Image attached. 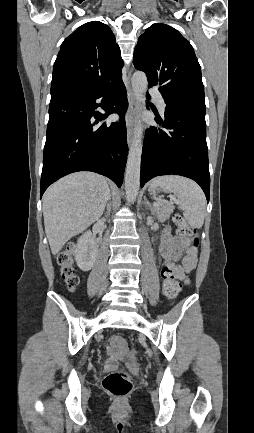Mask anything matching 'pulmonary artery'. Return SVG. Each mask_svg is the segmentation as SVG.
Here are the masks:
<instances>
[{"mask_svg": "<svg viewBox=\"0 0 254 433\" xmlns=\"http://www.w3.org/2000/svg\"><path fill=\"white\" fill-rule=\"evenodd\" d=\"M150 94L154 97V99L157 102L158 108L161 112H164L165 110V102L164 99L162 97V95L160 94V92L158 91L157 88H153L150 90Z\"/></svg>", "mask_w": 254, "mask_h": 433, "instance_id": "1", "label": "pulmonary artery"}]
</instances>
